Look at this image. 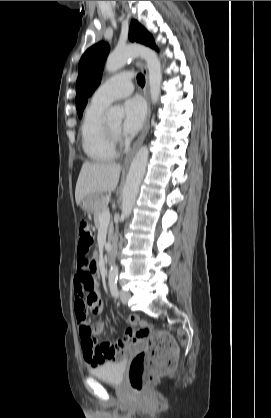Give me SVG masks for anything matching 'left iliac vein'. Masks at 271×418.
<instances>
[{"label":"left iliac vein","instance_id":"1","mask_svg":"<svg viewBox=\"0 0 271 418\" xmlns=\"http://www.w3.org/2000/svg\"><path fill=\"white\" fill-rule=\"evenodd\" d=\"M131 298V294L125 290L120 291V300L123 304H127L129 299Z\"/></svg>","mask_w":271,"mask_h":418}]
</instances>
